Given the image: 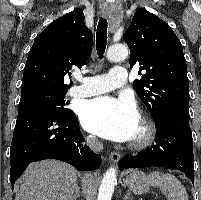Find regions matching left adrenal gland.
<instances>
[{
	"label": "left adrenal gland",
	"instance_id": "1",
	"mask_svg": "<svg viewBox=\"0 0 201 200\" xmlns=\"http://www.w3.org/2000/svg\"><path fill=\"white\" fill-rule=\"evenodd\" d=\"M123 200H133V197L131 196V191H127L126 194L123 197Z\"/></svg>",
	"mask_w": 201,
	"mask_h": 200
}]
</instances>
